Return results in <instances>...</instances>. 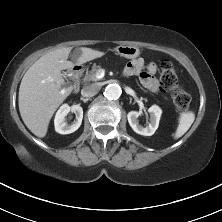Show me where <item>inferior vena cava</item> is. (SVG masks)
<instances>
[{
  "instance_id": "inferior-vena-cava-1",
  "label": "inferior vena cava",
  "mask_w": 222,
  "mask_h": 222,
  "mask_svg": "<svg viewBox=\"0 0 222 222\" xmlns=\"http://www.w3.org/2000/svg\"><path fill=\"white\" fill-rule=\"evenodd\" d=\"M100 90V86L98 84H91L88 86L83 87L81 90V94L84 97H92L96 95Z\"/></svg>"
}]
</instances>
